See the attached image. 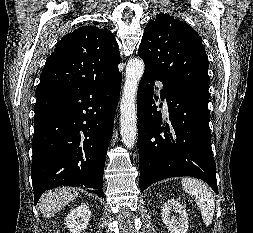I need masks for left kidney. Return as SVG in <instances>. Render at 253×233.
<instances>
[{
	"label": "left kidney",
	"instance_id": "left-kidney-1",
	"mask_svg": "<svg viewBox=\"0 0 253 233\" xmlns=\"http://www.w3.org/2000/svg\"><path fill=\"white\" fill-rule=\"evenodd\" d=\"M162 221L170 233H187L189 228L185 207L174 199L165 202L162 209Z\"/></svg>",
	"mask_w": 253,
	"mask_h": 233
}]
</instances>
